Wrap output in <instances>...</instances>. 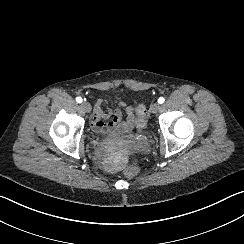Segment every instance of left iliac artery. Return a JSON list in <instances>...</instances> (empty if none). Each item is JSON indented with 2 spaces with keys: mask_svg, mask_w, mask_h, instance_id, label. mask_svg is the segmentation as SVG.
Instances as JSON below:
<instances>
[{
  "mask_svg": "<svg viewBox=\"0 0 244 244\" xmlns=\"http://www.w3.org/2000/svg\"><path fill=\"white\" fill-rule=\"evenodd\" d=\"M164 101H165V99H164L163 97H160V98L158 99V103H160V104L164 103Z\"/></svg>",
  "mask_w": 244,
  "mask_h": 244,
  "instance_id": "left-iliac-artery-1",
  "label": "left iliac artery"
}]
</instances>
